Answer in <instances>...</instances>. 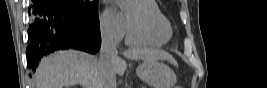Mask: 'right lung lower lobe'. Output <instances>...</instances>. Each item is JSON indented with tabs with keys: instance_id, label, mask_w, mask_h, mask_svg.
Returning a JSON list of instances; mask_svg holds the SVG:
<instances>
[{
	"instance_id": "obj_1",
	"label": "right lung lower lobe",
	"mask_w": 267,
	"mask_h": 88,
	"mask_svg": "<svg viewBox=\"0 0 267 88\" xmlns=\"http://www.w3.org/2000/svg\"><path fill=\"white\" fill-rule=\"evenodd\" d=\"M30 10V8H29ZM33 23L28 29L27 65L35 71L42 55L59 49H79L95 54L101 36L98 15L78 12L65 0H34Z\"/></svg>"
}]
</instances>
